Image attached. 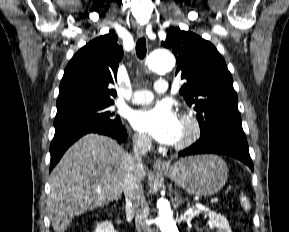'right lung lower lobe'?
<instances>
[{"mask_svg": "<svg viewBox=\"0 0 289 232\" xmlns=\"http://www.w3.org/2000/svg\"><path fill=\"white\" fill-rule=\"evenodd\" d=\"M91 132L110 136L116 139L119 143L124 142L127 139V133L122 124L104 127L76 126L55 130V135L50 145V171L58 163L64 152L76 140Z\"/></svg>", "mask_w": 289, "mask_h": 232, "instance_id": "1", "label": "right lung lower lobe"}]
</instances>
